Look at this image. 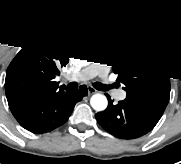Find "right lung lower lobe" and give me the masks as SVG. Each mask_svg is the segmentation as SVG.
<instances>
[{"mask_svg":"<svg viewBox=\"0 0 181 164\" xmlns=\"http://www.w3.org/2000/svg\"><path fill=\"white\" fill-rule=\"evenodd\" d=\"M88 93L87 87L66 88L47 99H21L9 104L19 124L36 134L50 132L64 124L75 104Z\"/></svg>","mask_w":181,"mask_h":164,"instance_id":"obj_1","label":"right lung lower lobe"}]
</instances>
